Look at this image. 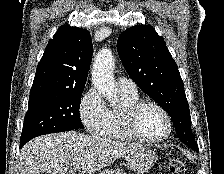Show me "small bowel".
Listing matches in <instances>:
<instances>
[{"mask_svg":"<svg viewBox=\"0 0 224 174\" xmlns=\"http://www.w3.org/2000/svg\"><path fill=\"white\" fill-rule=\"evenodd\" d=\"M116 174H124V173L119 172V173H116Z\"/></svg>","mask_w":224,"mask_h":174,"instance_id":"obj_1","label":"small bowel"}]
</instances>
